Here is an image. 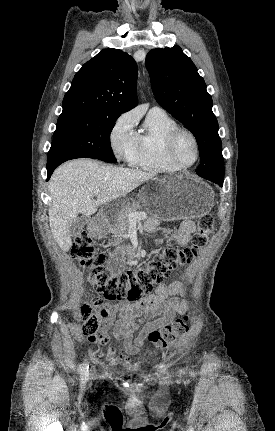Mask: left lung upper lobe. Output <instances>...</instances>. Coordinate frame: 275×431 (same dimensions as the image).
I'll use <instances>...</instances> for the list:
<instances>
[{"mask_svg":"<svg viewBox=\"0 0 275 431\" xmlns=\"http://www.w3.org/2000/svg\"><path fill=\"white\" fill-rule=\"evenodd\" d=\"M151 87L156 101L195 136L201 164L199 176L224 177V162L218 122L212 112V98L192 60L179 46L157 48L146 56Z\"/></svg>","mask_w":275,"mask_h":431,"instance_id":"left-lung-upper-lobe-1","label":"left lung upper lobe"}]
</instances>
